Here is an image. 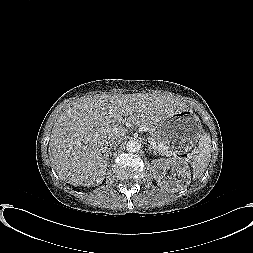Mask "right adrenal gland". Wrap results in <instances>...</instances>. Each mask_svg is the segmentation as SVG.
<instances>
[{
	"label": "right adrenal gland",
	"instance_id": "obj_1",
	"mask_svg": "<svg viewBox=\"0 0 253 253\" xmlns=\"http://www.w3.org/2000/svg\"><path fill=\"white\" fill-rule=\"evenodd\" d=\"M116 147V146H115ZM115 147H110V149L112 150L113 148H115ZM111 154V153H110Z\"/></svg>",
	"mask_w": 253,
	"mask_h": 253
}]
</instances>
